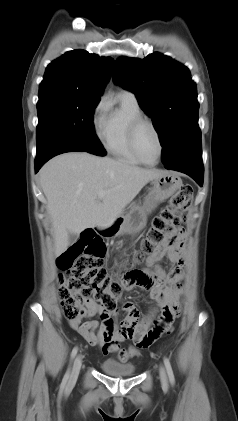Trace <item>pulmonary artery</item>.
Here are the masks:
<instances>
[{
    "label": "pulmonary artery",
    "instance_id": "e3ab8cb5",
    "mask_svg": "<svg viewBox=\"0 0 238 421\" xmlns=\"http://www.w3.org/2000/svg\"><path fill=\"white\" fill-rule=\"evenodd\" d=\"M122 93L125 94V95H127V96H129V97H131V98H133V99H136L135 95L132 92H130V91H123Z\"/></svg>",
    "mask_w": 238,
    "mask_h": 421
}]
</instances>
